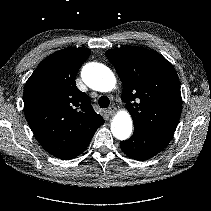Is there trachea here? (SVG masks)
Returning a JSON list of instances; mask_svg holds the SVG:
<instances>
[{
  "instance_id": "trachea-1",
  "label": "trachea",
  "mask_w": 211,
  "mask_h": 211,
  "mask_svg": "<svg viewBox=\"0 0 211 211\" xmlns=\"http://www.w3.org/2000/svg\"><path fill=\"white\" fill-rule=\"evenodd\" d=\"M98 104L101 108H107L110 105V100L107 96H101L98 100Z\"/></svg>"
}]
</instances>
